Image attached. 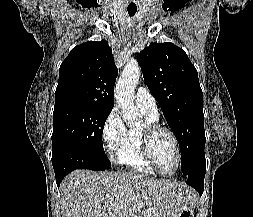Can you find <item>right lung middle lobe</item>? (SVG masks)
Listing matches in <instances>:
<instances>
[{
    "label": "right lung middle lobe",
    "instance_id": "right-lung-middle-lobe-1",
    "mask_svg": "<svg viewBox=\"0 0 253 217\" xmlns=\"http://www.w3.org/2000/svg\"><path fill=\"white\" fill-rule=\"evenodd\" d=\"M112 108L80 103L55 105L53 112V153L64 149H80L87 153L100 169H110L102 133Z\"/></svg>",
    "mask_w": 253,
    "mask_h": 217
}]
</instances>
